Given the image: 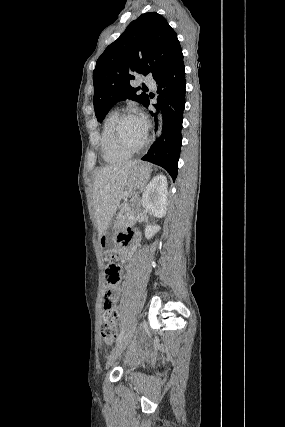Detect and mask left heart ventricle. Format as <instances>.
<instances>
[{
  "label": "left heart ventricle",
  "mask_w": 285,
  "mask_h": 427,
  "mask_svg": "<svg viewBox=\"0 0 285 427\" xmlns=\"http://www.w3.org/2000/svg\"><path fill=\"white\" fill-rule=\"evenodd\" d=\"M121 135L126 144L131 147L138 146L146 136V129L139 118L131 117L123 121Z\"/></svg>",
  "instance_id": "left-heart-ventricle-1"
}]
</instances>
